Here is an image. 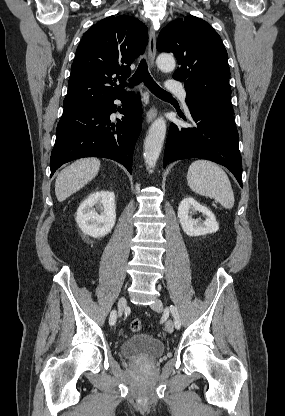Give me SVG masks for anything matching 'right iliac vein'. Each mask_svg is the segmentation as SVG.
Segmentation results:
<instances>
[{"instance_id":"right-iliac-vein-1","label":"right iliac vein","mask_w":285,"mask_h":416,"mask_svg":"<svg viewBox=\"0 0 285 416\" xmlns=\"http://www.w3.org/2000/svg\"><path fill=\"white\" fill-rule=\"evenodd\" d=\"M127 305V300L124 296H122L119 300H118V317H121L124 309Z\"/></svg>"}]
</instances>
